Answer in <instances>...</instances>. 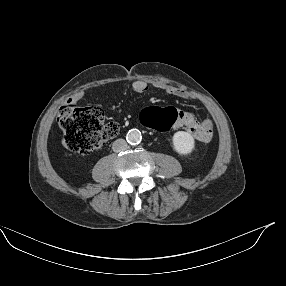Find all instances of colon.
Here are the masks:
<instances>
[{"mask_svg":"<svg viewBox=\"0 0 286 286\" xmlns=\"http://www.w3.org/2000/svg\"><path fill=\"white\" fill-rule=\"evenodd\" d=\"M176 119L177 113L172 108H151L145 112L143 119H139V124L165 131ZM57 124L63 132L64 148L79 155L99 149L120 131L118 123L105 120L100 108L78 107L73 104L61 107L57 115Z\"/></svg>","mask_w":286,"mask_h":286,"instance_id":"obj_1","label":"colon"}]
</instances>
